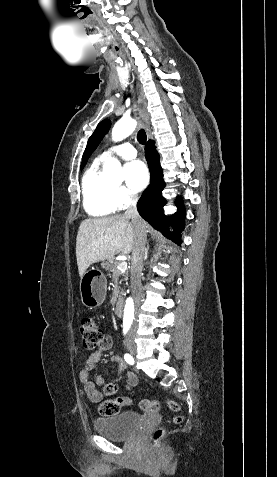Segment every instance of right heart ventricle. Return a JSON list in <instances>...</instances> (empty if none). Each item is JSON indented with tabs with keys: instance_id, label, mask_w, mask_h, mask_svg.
Listing matches in <instances>:
<instances>
[{
	"instance_id": "right-heart-ventricle-1",
	"label": "right heart ventricle",
	"mask_w": 277,
	"mask_h": 477,
	"mask_svg": "<svg viewBox=\"0 0 277 477\" xmlns=\"http://www.w3.org/2000/svg\"><path fill=\"white\" fill-rule=\"evenodd\" d=\"M101 164L96 159L85 171L81 183L83 207L92 217H106L117 210L114 186L102 174Z\"/></svg>"
}]
</instances>
